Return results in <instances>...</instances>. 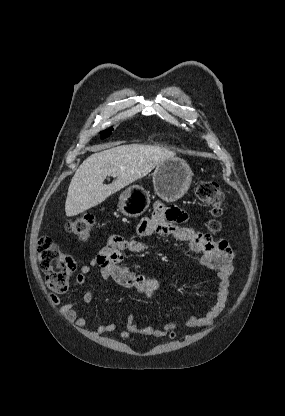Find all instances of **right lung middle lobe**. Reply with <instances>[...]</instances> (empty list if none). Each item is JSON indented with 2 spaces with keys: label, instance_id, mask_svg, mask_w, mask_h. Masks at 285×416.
I'll list each match as a JSON object with an SVG mask.
<instances>
[{
  "label": "right lung middle lobe",
  "instance_id": "obj_1",
  "mask_svg": "<svg viewBox=\"0 0 285 416\" xmlns=\"http://www.w3.org/2000/svg\"><path fill=\"white\" fill-rule=\"evenodd\" d=\"M112 130H113V128L111 127V128H108L107 130L102 131L101 134H100L101 138L104 139V138L110 136Z\"/></svg>",
  "mask_w": 285,
  "mask_h": 416
}]
</instances>
